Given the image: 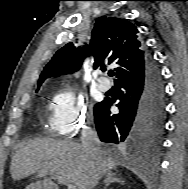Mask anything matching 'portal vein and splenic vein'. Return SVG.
<instances>
[{"instance_id": "portal-vein-and-splenic-vein-1", "label": "portal vein and splenic vein", "mask_w": 188, "mask_h": 189, "mask_svg": "<svg viewBox=\"0 0 188 189\" xmlns=\"http://www.w3.org/2000/svg\"><path fill=\"white\" fill-rule=\"evenodd\" d=\"M40 176H46L47 174H50L51 176H53V178L55 180H57L59 183L66 185L68 189H77L76 186L74 184H71L69 182H67L65 179H63L60 176L54 175L53 173H49L47 171H40L39 172Z\"/></svg>"}]
</instances>
